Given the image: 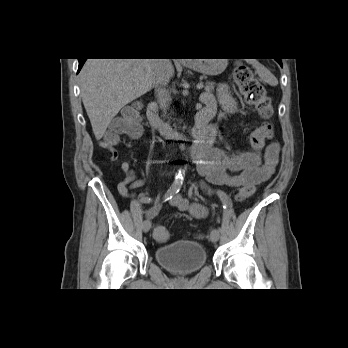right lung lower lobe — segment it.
<instances>
[{"label":"right lung lower lobe","instance_id":"right-lung-lower-lobe-1","mask_svg":"<svg viewBox=\"0 0 348 348\" xmlns=\"http://www.w3.org/2000/svg\"><path fill=\"white\" fill-rule=\"evenodd\" d=\"M79 60V67H78V72L81 70L83 64L85 63L86 59H78Z\"/></svg>","mask_w":348,"mask_h":348}]
</instances>
